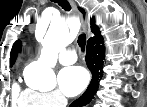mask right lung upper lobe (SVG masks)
Here are the masks:
<instances>
[{
    "mask_svg": "<svg viewBox=\"0 0 147 107\" xmlns=\"http://www.w3.org/2000/svg\"><path fill=\"white\" fill-rule=\"evenodd\" d=\"M80 11L82 13H84V10L80 8ZM90 25H91V32L94 33V37H91L89 40H92V39H95L97 37H100L101 36V33L99 31V28L98 26H96L95 24V20L94 19H91L90 20ZM88 40V41H89ZM21 49V42L20 41H17L14 45H13V48H12V51H11V55H10V63L11 65L14 64L15 60H16V57L18 55V51Z\"/></svg>",
    "mask_w": 147,
    "mask_h": 107,
    "instance_id": "obj_1",
    "label": "right lung upper lobe"
}]
</instances>
